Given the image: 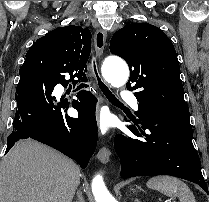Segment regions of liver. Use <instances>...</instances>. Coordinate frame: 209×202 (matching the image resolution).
Masks as SVG:
<instances>
[{
    "label": "liver",
    "instance_id": "liver-1",
    "mask_svg": "<svg viewBox=\"0 0 209 202\" xmlns=\"http://www.w3.org/2000/svg\"><path fill=\"white\" fill-rule=\"evenodd\" d=\"M80 169L54 149L19 141L0 164V202H72Z\"/></svg>",
    "mask_w": 209,
    "mask_h": 202
}]
</instances>
